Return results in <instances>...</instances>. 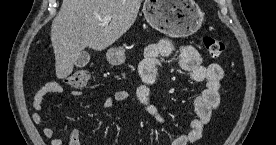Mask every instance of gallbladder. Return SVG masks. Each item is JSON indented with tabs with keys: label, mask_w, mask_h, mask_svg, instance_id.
<instances>
[{
	"label": "gallbladder",
	"mask_w": 276,
	"mask_h": 145,
	"mask_svg": "<svg viewBox=\"0 0 276 145\" xmlns=\"http://www.w3.org/2000/svg\"><path fill=\"white\" fill-rule=\"evenodd\" d=\"M90 61V54L87 51H81L75 61L76 67H85Z\"/></svg>",
	"instance_id": "obj_1"
}]
</instances>
